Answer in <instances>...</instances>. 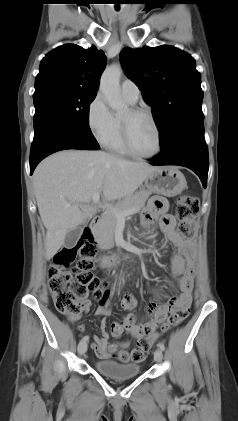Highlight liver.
I'll use <instances>...</instances> for the list:
<instances>
[{
	"label": "liver",
	"mask_w": 238,
	"mask_h": 421,
	"mask_svg": "<svg viewBox=\"0 0 238 421\" xmlns=\"http://www.w3.org/2000/svg\"><path fill=\"white\" fill-rule=\"evenodd\" d=\"M156 168L104 151L65 150L43 160L34 171L33 184L47 230L46 258L57 253L69 231L95 214L89 204L95 192H102L107 201L133 195Z\"/></svg>",
	"instance_id": "1"
}]
</instances>
